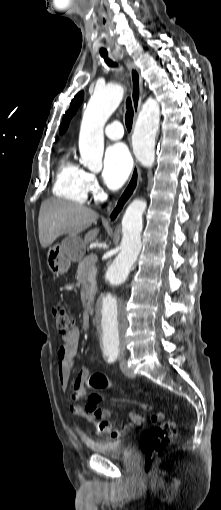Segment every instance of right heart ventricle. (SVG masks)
I'll return each mask as SVG.
<instances>
[{
  "label": "right heart ventricle",
  "instance_id": "right-heart-ventricle-1",
  "mask_svg": "<svg viewBox=\"0 0 221 510\" xmlns=\"http://www.w3.org/2000/svg\"><path fill=\"white\" fill-rule=\"evenodd\" d=\"M86 175L87 172L70 158L69 153L64 154L56 170L53 193L75 203H84L88 195Z\"/></svg>",
  "mask_w": 221,
  "mask_h": 510
}]
</instances>
